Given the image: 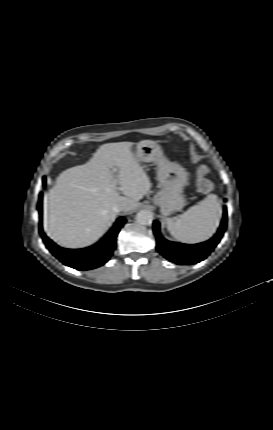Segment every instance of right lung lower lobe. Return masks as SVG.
Segmentation results:
<instances>
[{"label": "right lung lower lobe", "mask_w": 273, "mask_h": 430, "mask_svg": "<svg viewBox=\"0 0 273 430\" xmlns=\"http://www.w3.org/2000/svg\"><path fill=\"white\" fill-rule=\"evenodd\" d=\"M46 179L43 178L45 184ZM42 198L39 194L38 211L42 217ZM126 222L124 218H119L107 235L97 244L84 249H64L56 245L43 232L42 224H39V233L49 251L57 257L63 264L78 270H90L97 268L108 261L116 248V237Z\"/></svg>", "instance_id": "1"}]
</instances>
